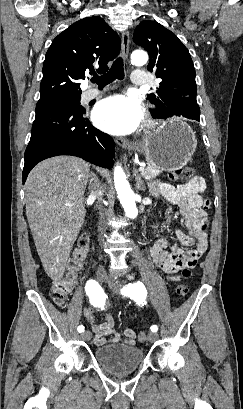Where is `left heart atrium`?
I'll return each instance as SVG.
<instances>
[{
  "instance_id": "1",
  "label": "left heart atrium",
  "mask_w": 243,
  "mask_h": 409,
  "mask_svg": "<svg viewBox=\"0 0 243 409\" xmlns=\"http://www.w3.org/2000/svg\"><path fill=\"white\" fill-rule=\"evenodd\" d=\"M143 119V108L133 96L115 95L100 101L93 111V121L101 130L124 135L135 131Z\"/></svg>"
}]
</instances>
